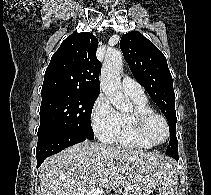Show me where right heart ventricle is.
Masks as SVG:
<instances>
[{
    "label": "right heart ventricle",
    "mask_w": 211,
    "mask_h": 195,
    "mask_svg": "<svg viewBox=\"0 0 211 195\" xmlns=\"http://www.w3.org/2000/svg\"><path fill=\"white\" fill-rule=\"evenodd\" d=\"M128 97L131 99L134 105V110H152L146 96L144 97L128 96ZM130 114L131 113H125V112L118 113V128L114 141L118 145L124 148L139 149V150H145L151 148L136 136L131 122Z\"/></svg>",
    "instance_id": "right-heart-ventricle-1"
}]
</instances>
